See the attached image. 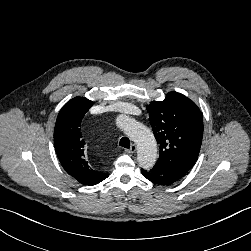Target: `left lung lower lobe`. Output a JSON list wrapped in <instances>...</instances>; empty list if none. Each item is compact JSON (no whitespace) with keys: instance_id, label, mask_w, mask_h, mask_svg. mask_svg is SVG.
Returning a JSON list of instances; mask_svg holds the SVG:
<instances>
[{"instance_id":"0a47b994","label":"left lung lower lobe","mask_w":251,"mask_h":251,"mask_svg":"<svg viewBox=\"0 0 251 251\" xmlns=\"http://www.w3.org/2000/svg\"><path fill=\"white\" fill-rule=\"evenodd\" d=\"M141 172L148 180L160 185H170L180 180L186 174L179 170L157 165L149 171L141 169Z\"/></svg>"}]
</instances>
